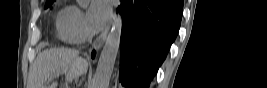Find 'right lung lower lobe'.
<instances>
[{
  "label": "right lung lower lobe",
  "instance_id": "98d812e1",
  "mask_svg": "<svg viewBox=\"0 0 267 88\" xmlns=\"http://www.w3.org/2000/svg\"><path fill=\"white\" fill-rule=\"evenodd\" d=\"M94 54H95V52L93 51V53H92V58H94Z\"/></svg>",
  "mask_w": 267,
  "mask_h": 88
}]
</instances>
